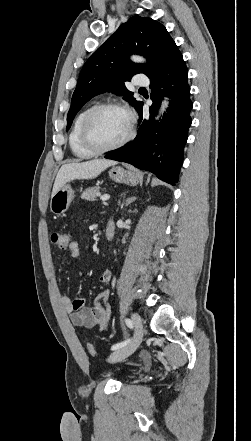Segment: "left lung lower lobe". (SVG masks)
<instances>
[{
    "label": "left lung lower lobe",
    "instance_id": "obj_1",
    "mask_svg": "<svg viewBox=\"0 0 251 441\" xmlns=\"http://www.w3.org/2000/svg\"><path fill=\"white\" fill-rule=\"evenodd\" d=\"M188 70L178 47L175 45L160 69L150 77V119L143 116V102L136 109L139 129L135 139L105 156L154 173L159 179L175 185L183 163V151L191 125L190 87ZM171 102L160 122L153 121L164 96Z\"/></svg>",
    "mask_w": 251,
    "mask_h": 441
}]
</instances>
